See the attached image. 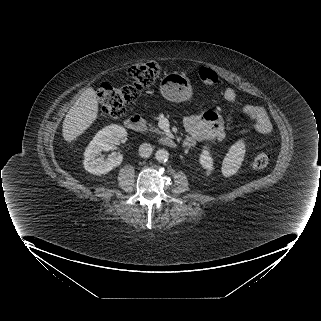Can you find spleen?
Masks as SVG:
<instances>
[{
    "mask_svg": "<svg viewBox=\"0 0 321 321\" xmlns=\"http://www.w3.org/2000/svg\"><path fill=\"white\" fill-rule=\"evenodd\" d=\"M245 154V144L243 140L237 141L234 145L231 146L228 153L226 154L223 165L222 172L224 175L229 176L235 173L241 162L243 161Z\"/></svg>",
    "mask_w": 321,
    "mask_h": 321,
    "instance_id": "obj_1",
    "label": "spleen"
}]
</instances>
